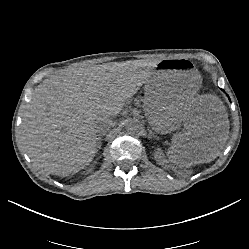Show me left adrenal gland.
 Masks as SVG:
<instances>
[{
  "mask_svg": "<svg viewBox=\"0 0 249 249\" xmlns=\"http://www.w3.org/2000/svg\"><path fill=\"white\" fill-rule=\"evenodd\" d=\"M154 138L152 135H151V130H149V135H148V139H152ZM156 140H158V138H155Z\"/></svg>",
  "mask_w": 249,
  "mask_h": 249,
  "instance_id": "a2214340",
  "label": "left adrenal gland"
}]
</instances>
